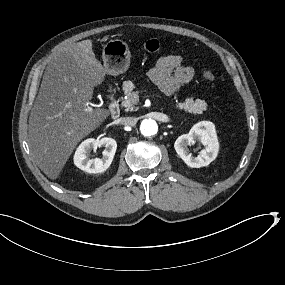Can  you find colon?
<instances>
[{
    "mask_svg": "<svg viewBox=\"0 0 285 285\" xmlns=\"http://www.w3.org/2000/svg\"><path fill=\"white\" fill-rule=\"evenodd\" d=\"M143 48L145 51L150 53L159 52L162 48V43L157 39H148L143 43ZM203 78L208 81H213L215 79V75L213 72L207 70L203 72Z\"/></svg>",
    "mask_w": 285,
    "mask_h": 285,
    "instance_id": "colon-1",
    "label": "colon"
}]
</instances>
